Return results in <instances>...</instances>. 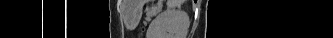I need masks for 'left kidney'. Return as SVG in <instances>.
<instances>
[{
    "instance_id": "1",
    "label": "left kidney",
    "mask_w": 333,
    "mask_h": 38,
    "mask_svg": "<svg viewBox=\"0 0 333 38\" xmlns=\"http://www.w3.org/2000/svg\"><path fill=\"white\" fill-rule=\"evenodd\" d=\"M189 26V16L185 11L167 9L150 24L148 38H186Z\"/></svg>"
}]
</instances>
